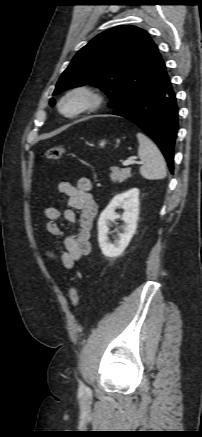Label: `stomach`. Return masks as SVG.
<instances>
[{
	"label": "stomach",
	"mask_w": 202,
	"mask_h": 437,
	"mask_svg": "<svg viewBox=\"0 0 202 437\" xmlns=\"http://www.w3.org/2000/svg\"><path fill=\"white\" fill-rule=\"evenodd\" d=\"M105 144H106V141L105 140H102L101 142H100V147H104L105 146Z\"/></svg>",
	"instance_id": "obj_1"
}]
</instances>
